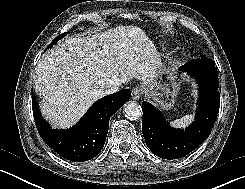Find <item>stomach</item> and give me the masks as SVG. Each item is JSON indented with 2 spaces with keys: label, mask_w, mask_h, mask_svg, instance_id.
Listing matches in <instances>:
<instances>
[{
  "label": "stomach",
  "mask_w": 245,
  "mask_h": 189,
  "mask_svg": "<svg viewBox=\"0 0 245 189\" xmlns=\"http://www.w3.org/2000/svg\"><path fill=\"white\" fill-rule=\"evenodd\" d=\"M178 91L179 82L173 76L171 68L164 65L158 69L154 81L144 87L145 94L166 111L174 106Z\"/></svg>",
  "instance_id": "obj_1"
}]
</instances>
